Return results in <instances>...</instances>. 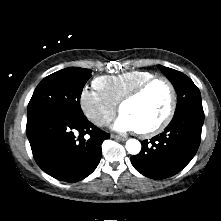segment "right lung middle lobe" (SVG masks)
<instances>
[{
  "instance_id": "1",
  "label": "right lung middle lobe",
  "mask_w": 221,
  "mask_h": 221,
  "mask_svg": "<svg viewBox=\"0 0 221 221\" xmlns=\"http://www.w3.org/2000/svg\"><path fill=\"white\" fill-rule=\"evenodd\" d=\"M92 70L69 67L45 77L28 104L27 119L52 112L83 114L80 97Z\"/></svg>"
}]
</instances>
